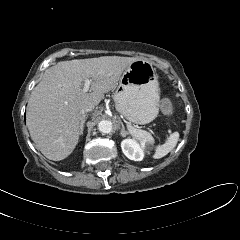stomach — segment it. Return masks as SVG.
<instances>
[{"mask_svg":"<svg viewBox=\"0 0 240 240\" xmlns=\"http://www.w3.org/2000/svg\"><path fill=\"white\" fill-rule=\"evenodd\" d=\"M116 109L127 120L147 124L159 113L158 76L152 64L138 59L131 63L120 77L113 94Z\"/></svg>","mask_w":240,"mask_h":240,"instance_id":"0dacf381","label":"stomach"}]
</instances>
